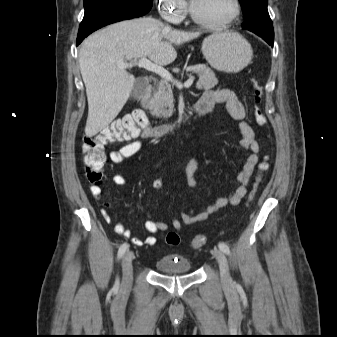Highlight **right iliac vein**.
Masks as SVG:
<instances>
[{
  "mask_svg": "<svg viewBox=\"0 0 337 337\" xmlns=\"http://www.w3.org/2000/svg\"><path fill=\"white\" fill-rule=\"evenodd\" d=\"M134 254L131 251L126 252L122 259V269H123V281L120 293L124 297L126 296L131 288L132 282V261Z\"/></svg>",
  "mask_w": 337,
  "mask_h": 337,
  "instance_id": "1",
  "label": "right iliac vein"
}]
</instances>
